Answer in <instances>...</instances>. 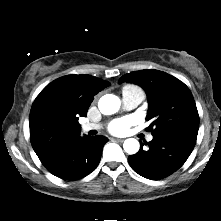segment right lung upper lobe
I'll list each match as a JSON object with an SVG mask.
<instances>
[{
	"label": "right lung upper lobe",
	"mask_w": 221,
	"mask_h": 221,
	"mask_svg": "<svg viewBox=\"0 0 221 221\" xmlns=\"http://www.w3.org/2000/svg\"><path fill=\"white\" fill-rule=\"evenodd\" d=\"M109 85L90 75H67L40 92L30 111L29 126L30 141L41 162L80 136L79 117L87 115L94 95Z\"/></svg>",
	"instance_id": "cb5924a9"
}]
</instances>
